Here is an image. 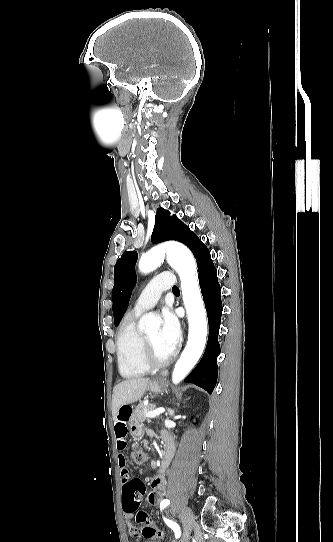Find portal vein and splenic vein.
Instances as JSON below:
<instances>
[{
    "label": "portal vein and splenic vein",
    "mask_w": 333,
    "mask_h": 542,
    "mask_svg": "<svg viewBox=\"0 0 333 542\" xmlns=\"http://www.w3.org/2000/svg\"><path fill=\"white\" fill-rule=\"evenodd\" d=\"M165 408H156V410H153V412H146L145 418H156V416H160V414H164Z\"/></svg>",
    "instance_id": "obj_1"
}]
</instances>
